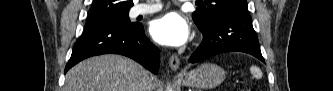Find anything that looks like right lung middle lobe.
Returning a JSON list of instances; mask_svg holds the SVG:
<instances>
[{
  "instance_id": "right-lung-middle-lobe-1",
  "label": "right lung middle lobe",
  "mask_w": 333,
  "mask_h": 91,
  "mask_svg": "<svg viewBox=\"0 0 333 91\" xmlns=\"http://www.w3.org/2000/svg\"><path fill=\"white\" fill-rule=\"evenodd\" d=\"M88 22H104V23H118V24H130L132 23L128 17V11L112 15V16H107L95 20H89Z\"/></svg>"
}]
</instances>
